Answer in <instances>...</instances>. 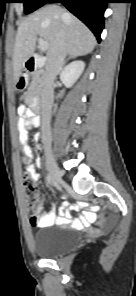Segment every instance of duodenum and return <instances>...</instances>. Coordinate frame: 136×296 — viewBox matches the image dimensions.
Here are the masks:
<instances>
[{
	"instance_id": "duodenum-1",
	"label": "duodenum",
	"mask_w": 136,
	"mask_h": 296,
	"mask_svg": "<svg viewBox=\"0 0 136 296\" xmlns=\"http://www.w3.org/2000/svg\"><path fill=\"white\" fill-rule=\"evenodd\" d=\"M45 58L40 55H34L29 57L25 62V67L27 73L35 72L37 69L41 68L44 64ZM21 82H25V78L21 77ZM41 124V120L38 117H35V126H39Z\"/></svg>"
}]
</instances>
